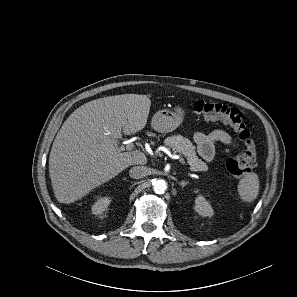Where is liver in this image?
I'll return each instance as SVG.
<instances>
[{
  "instance_id": "1",
  "label": "liver",
  "mask_w": 297,
  "mask_h": 297,
  "mask_svg": "<svg viewBox=\"0 0 297 297\" xmlns=\"http://www.w3.org/2000/svg\"><path fill=\"white\" fill-rule=\"evenodd\" d=\"M151 95L123 94L92 100L63 123L49 156L56 199L70 204L131 165H144L139 151H119L118 139L142 130Z\"/></svg>"
}]
</instances>
